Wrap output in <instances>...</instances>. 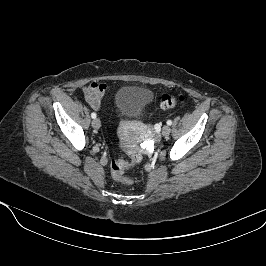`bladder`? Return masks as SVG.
Returning <instances> with one entry per match:
<instances>
[{"mask_svg":"<svg viewBox=\"0 0 266 266\" xmlns=\"http://www.w3.org/2000/svg\"><path fill=\"white\" fill-rule=\"evenodd\" d=\"M152 100L151 92L143 87L123 86L115 94L117 112L125 117L141 115Z\"/></svg>","mask_w":266,"mask_h":266,"instance_id":"obj_1","label":"bladder"}]
</instances>
